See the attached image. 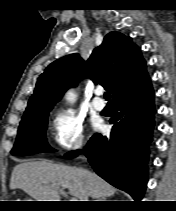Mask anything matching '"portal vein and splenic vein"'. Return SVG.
<instances>
[{
	"label": "portal vein and splenic vein",
	"mask_w": 176,
	"mask_h": 211,
	"mask_svg": "<svg viewBox=\"0 0 176 211\" xmlns=\"http://www.w3.org/2000/svg\"><path fill=\"white\" fill-rule=\"evenodd\" d=\"M60 193L66 196V193H65V192H63L62 190L60 191ZM69 201H78V200H77V199H75V198H71V199H69Z\"/></svg>",
	"instance_id": "1"
}]
</instances>
